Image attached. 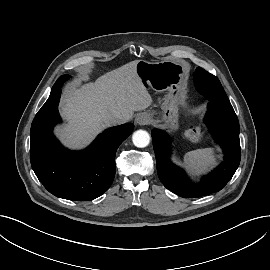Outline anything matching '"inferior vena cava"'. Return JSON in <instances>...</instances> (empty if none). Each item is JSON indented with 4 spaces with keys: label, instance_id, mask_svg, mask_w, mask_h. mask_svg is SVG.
I'll list each match as a JSON object with an SVG mask.
<instances>
[{
    "label": "inferior vena cava",
    "instance_id": "1",
    "mask_svg": "<svg viewBox=\"0 0 270 270\" xmlns=\"http://www.w3.org/2000/svg\"><path fill=\"white\" fill-rule=\"evenodd\" d=\"M108 122L110 125H120L127 122V119L126 117L120 114H116V115L110 116Z\"/></svg>",
    "mask_w": 270,
    "mask_h": 270
}]
</instances>
